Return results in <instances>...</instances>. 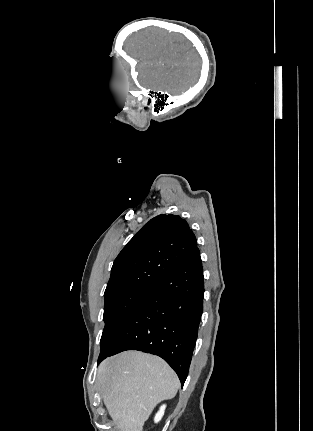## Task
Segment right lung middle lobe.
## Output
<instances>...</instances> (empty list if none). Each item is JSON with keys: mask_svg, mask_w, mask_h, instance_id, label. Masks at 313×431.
I'll list each match as a JSON object with an SVG mask.
<instances>
[{"mask_svg": "<svg viewBox=\"0 0 313 431\" xmlns=\"http://www.w3.org/2000/svg\"><path fill=\"white\" fill-rule=\"evenodd\" d=\"M151 291L131 290L104 296L105 327L100 341L101 348Z\"/></svg>", "mask_w": 313, "mask_h": 431, "instance_id": "dd1d6c3e", "label": "right lung middle lobe"}]
</instances>
